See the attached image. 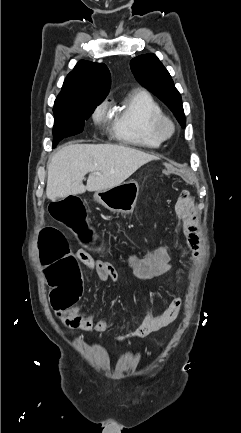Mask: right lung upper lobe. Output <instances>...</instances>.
Segmentation results:
<instances>
[{
  "label": "right lung upper lobe",
  "mask_w": 241,
  "mask_h": 433,
  "mask_svg": "<svg viewBox=\"0 0 241 433\" xmlns=\"http://www.w3.org/2000/svg\"><path fill=\"white\" fill-rule=\"evenodd\" d=\"M110 83L105 64L81 60L68 74L55 102L103 101Z\"/></svg>",
  "instance_id": "cb5924a9"
}]
</instances>
